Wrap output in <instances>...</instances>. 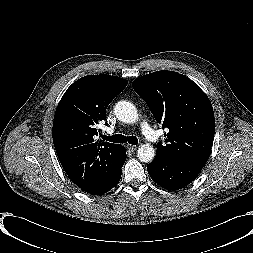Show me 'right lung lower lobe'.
<instances>
[{"label":"right lung lower lobe","instance_id":"right-lung-lower-lobe-1","mask_svg":"<svg viewBox=\"0 0 253 253\" xmlns=\"http://www.w3.org/2000/svg\"><path fill=\"white\" fill-rule=\"evenodd\" d=\"M121 157H122V159L120 161V164H119L118 168L115 170V172L112 173L110 175V177H108L107 180L102 185H100L97 189L89 192L90 194H92V195H101V194H104V193L108 192L115 185H117V183L119 182V180L121 178V173H122L121 168H122V166H123V164L126 160V151H125L124 147L122 149Z\"/></svg>","mask_w":253,"mask_h":253}]
</instances>
